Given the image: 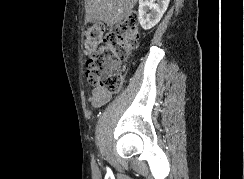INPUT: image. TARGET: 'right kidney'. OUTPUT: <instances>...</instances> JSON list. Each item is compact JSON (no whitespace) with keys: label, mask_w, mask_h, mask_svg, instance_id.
<instances>
[{"label":"right kidney","mask_w":244,"mask_h":179,"mask_svg":"<svg viewBox=\"0 0 244 179\" xmlns=\"http://www.w3.org/2000/svg\"><path fill=\"white\" fill-rule=\"evenodd\" d=\"M157 2V4H155ZM170 0H139L138 20L143 30H151L160 22Z\"/></svg>","instance_id":"1"}]
</instances>
